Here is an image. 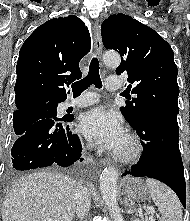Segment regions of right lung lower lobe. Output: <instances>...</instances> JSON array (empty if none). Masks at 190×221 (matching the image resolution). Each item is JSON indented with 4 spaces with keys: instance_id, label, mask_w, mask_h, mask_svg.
I'll list each match as a JSON object with an SVG mask.
<instances>
[{
    "instance_id": "obj_1",
    "label": "right lung lower lobe",
    "mask_w": 190,
    "mask_h": 221,
    "mask_svg": "<svg viewBox=\"0 0 190 221\" xmlns=\"http://www.w3.org/2000/svg\"><path fill=\"white\" fill-rule=\"evenodd\" d=\"M71 121L68 118H45L32 124L12 147L13 168L29 170L55 163L66 167L77 160L82 161L79 137L66 132L62 125Z\"/></svg>"
}]
</instances>
